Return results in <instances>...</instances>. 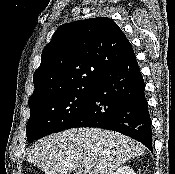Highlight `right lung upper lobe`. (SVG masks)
Wrapping results in <instances>:
<instances>
[{
	"label": "right lung upper lobe",
	"instance_id": "cb5924a9",
	"mask_svg": "<svg viewBox=\"0 0 175 174\" xmlns=\"http://www.w3.org/2000/svg\"><path fill=\"white\" fill-rule=\"evenodd\" d=\"M132 57L129 40L112 19L99 17L63 24L42 52L29 105L95 85L106 72Z\"/></svg>",
	"mask_w": 175,
	"mask_h": 174
}]
</instances>
